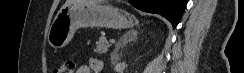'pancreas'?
I'll return each instance as SVG.
<instances>
[{
  "instance_id": "pancreas-1",
  "label": "pancreas",
  "mask_w": 244,
  "mask_h": 73,
  "mask_svg": "<svg viewBox=\"0 0 244 73\" xmlns=\"http://www.w3.org/2000/svg\"><path fill=\"white\" fill-rule=\"evenodd\" d=\"M109 44L105 37H100L99 41L96 43V48L94 49V52L98 55H103L108 51ZM116 62V60H114Z\"/></svg>"
}]
</instances>
